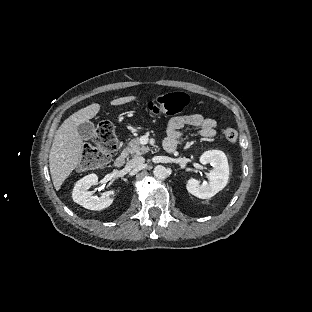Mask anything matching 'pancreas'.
I'll list each match as a JSON object with an SVG mask.
<instances>
[{
  "label": "pancreas",
  "mask_w": 312,
  "mask_h": 312,
  "mask_svg": "<svg viewBox=\"0 0 312 312\" xmlns=\"http://www.w3.org/2000/svg\"><path fill=\"white\" fill-rule=\"evenodd\" d=\"M149 152V148L142 145L140 143V139L138 137L133 138L128 143L127 147L123 149L122 156L127 157L131 155L132 157L143 155Z\"/></svg>",
  "instance_id": "pancreas-1"
}]
</instances>
